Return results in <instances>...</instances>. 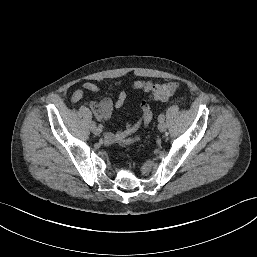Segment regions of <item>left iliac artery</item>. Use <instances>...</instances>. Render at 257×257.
Here are the masks:
<instances>
[{
	"mask_svg": "<svg viewBox=\"0 0 257 257\" xmlns=\"http://www.w3.org/2000/svg\"><path fill=\"white\" fill-rule=\"evenodd\" d=\"M164 120H165V115H164V113H161V114L158 116V121H159V122H164Z\"/></svg>",
	"mask_w": 257,
	"mask_h": 257,
	"instance_id": "1",
	"label": "left iliac artery"
}]
</instances>
